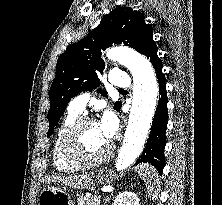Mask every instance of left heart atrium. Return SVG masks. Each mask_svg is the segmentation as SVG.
<instances>
[{"mask_svg":"<svg viewBox=\"0 0 222 205\" xmlns=\"http://www.w3.org/2000/svg\"><path fill=\"white\" fill-rule=\"evenodd\" d=\"M97 124L101 133L107 140H110L114 136L118 126L116 116L109 111H106L102 115L100 121Z\"/></svg>","mask_w":222,"mask_h":205,"instance_id":"1","label":"left heart atrium"}]
</instances>
